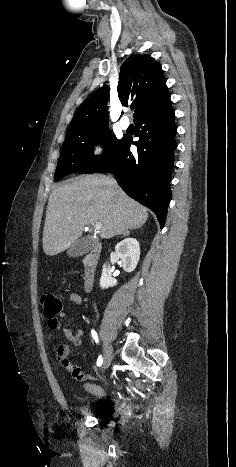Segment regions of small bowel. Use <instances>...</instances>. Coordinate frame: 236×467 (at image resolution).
<instances>
[{
	"label": "small bowel",
	"mask_w": 236,
	"mask_h": 467,
	"mask_svg": "<svg viewBox=\"0 0 236 467\" xmlns=\"http://www.w3.org/2000/svg\"><path fill=\"white\" fill-rule=\"evenodd\" d=\"M69 301L73 305L82 304V297L77 292H71L69 295ZM66 314L60 312L57 316L47 317V326L50 330L56 331L61 329L60 319H64ZM62 332L67 340V344H59L54 346V354L57 360L61 363L63 368L71 374V376L76 380H95L96 378L85 374L79 365L72 363L69 360L70 352L72 347H79L82 343L83 338V329L79 328L75 331L63 328ZM85 391L96 396L102 397L105 395V391L92 383H86L84 385Z\"/></svg>",
	"instance_id": "c3829d8e"
}]
</instances>
